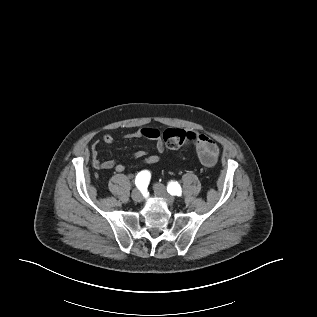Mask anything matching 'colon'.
<instances>
[{
	"mask_svg": "<svg viewBox=\"0 0 317 317\" xmlns=\"http://www.w3.org/2000/svg\"><path fill=\"white\" fill-rule=\"evenodd\" d=\"M160 136L165 147L169 150H177L193 142L196 138L195 133L177 128H168Z\"/></svg>",
	"mask_w": 317,
	"mask_h": 317,
	"instance_id": "obj_1",
	"label": "colon"
}]
</instances>
